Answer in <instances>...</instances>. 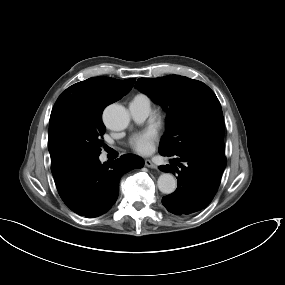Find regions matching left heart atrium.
<instances>
[{"mask_svg":"<svg viewBox=\"0 0 285 285\" xmlns=\"http://www.w3.org/2000/svg\"><path fill=\"white\" fill-rule=\"evenodd\" d=\"M157 139V131L155 129H147L133 134L130 139V145L136 153L146 155L153 150Z\"/></svg>","mask_w":285,"mask_h":285,"instance_id":"left-heart-atrium-1","label":"left heart atrium"}]
</instances>
